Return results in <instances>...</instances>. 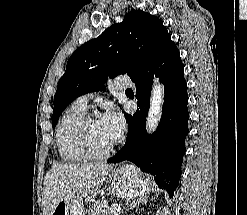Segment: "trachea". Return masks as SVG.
<instances>
[{
    "label": "trachea",
    "mask_w": 247,
    "mask_h": 215,
    "mask_svg": "<svg viewBox=\"0 0 247 215\" xmlns=\"http://www.w3.org/2000/svg\"><path fill=\"white\" fill-rule=\"evenodd\" d=\"M126 91H132L131 89H127Z\"/></svg>",
    "instance_id": "1"
}]
</instances>
